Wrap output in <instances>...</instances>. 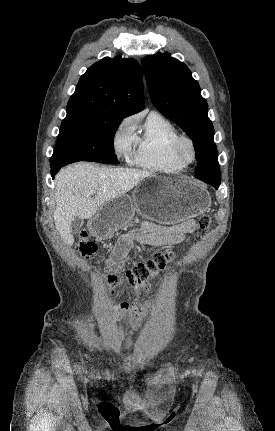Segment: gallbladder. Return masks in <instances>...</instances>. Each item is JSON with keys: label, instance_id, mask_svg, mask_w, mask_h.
I'll return each mask as SVG.
<instances>
[{"label": "gallbladder", "instance_id": "obj_1", "mask_svg": "<svg viewBox=\"0 0 275 431\" xmlns=\"http://www.w3.org/2000/svg\"><path fill=\"white\" fill-rule=\"evenodd\" d=\"M83 224H84L83 219H81L79 217H75L73 219V221L71 222V225H70V229H71L72 234L78 233L80 231V229L82 228Z\"/></svg>", "mask_w": 275, "mask_h": 431}]
</instances>
